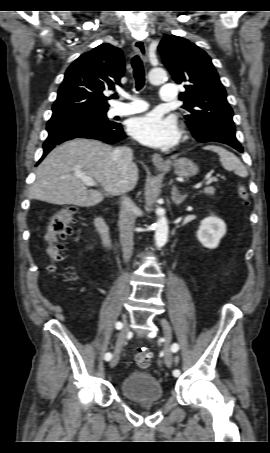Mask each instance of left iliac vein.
Instances as JSON below:
<instances>
[{
  "label": "left iliac vein",
  "mask_w": 270,
  "mask_h": 453,
  "mask_svg": "<svg viewBox=\"0 0 270 453\" xmlns=\"http://www.w3.org/2000/svg\"><path fill=\"white\" fill-rule=\"evenodd\" d=\"M160 324L163 329L164 335V361L168 367L172 365V353H171V342H172V328L169 322L162 318L160 320Z\"/></svg>",
  "instance_id": "1"
}]
</instances>
